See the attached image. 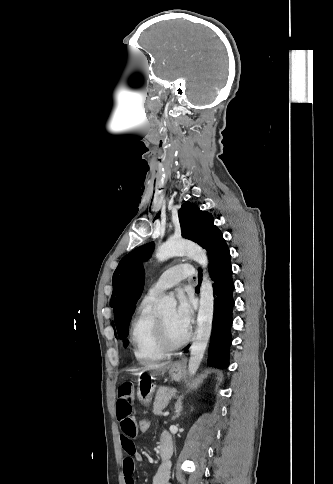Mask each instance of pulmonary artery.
<instances>
[{
    "instance_id": "obj_1",
    "label": "pulmonary artery",
    "mask_w": 333,
    "mask_h": 484,
    "mask_svg": "<svg viewBox=\"0 0 333 484\" xmlns=\"http://www.w3.org/2000/svg\"><path fill=\"white\" fill-rule=\"evenodd\" d=\"M193 274V268L189 264H177L164 271L158 279L151 285L148 295L155 297L164 290L172 288L181 280L190 277Z\"/></svg>"
}]
</instances>
